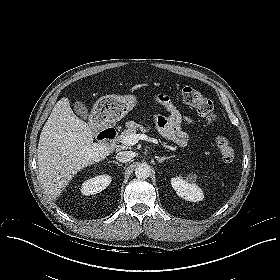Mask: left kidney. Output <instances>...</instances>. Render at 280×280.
<instances>
[{"label": "left kidney", "mask_w": 280, "mask_h": 280, "mask_svg": "<svg viewBox=\"0 0 280 280\" xmlns=\"http://www.w3.org/2000/svg\"><path fill=\"white\" fill-rule=\"evenodd\" d=\"M171 185L177 195L187 201L197 202L203 200L204 195L202 189L189 178L174 177L171 179Z\"/></svg>", "instance_id": "left-kidney-1"}]
</instances>
